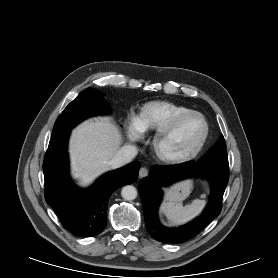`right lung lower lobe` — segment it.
Instances as JSON below:
<instances>
[{"label":"right lung lower lobe","instance_id":"right-lung-lower-lobe-1","mask_svg":"<svg viewBox=\"0 0 278 278\" xmlns=\"http://www.w3.org/2000/svg\"><path fill=\"white\" fill-rule=\"evenodd\" d=\"M70 131L51 138L43 162L45 199L71 233L91 237L107 225V206L112 193L136 181L140 163L132 162L99 178L87 190L78 189L68 171L67 143Z\"/></svg>","mask_w":278,"mask_h":278}]
</instances>
